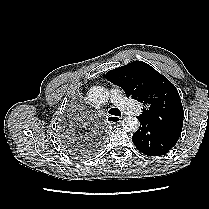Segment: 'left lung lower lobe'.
Listing matches in <instances>:
<instances>
[{"mask_svg":"<svg viewBox=\"0 0 209 209\" xmlns=\"http://www.w3.org/2000/svg\"><path fill=\"white\" fill-rule=\"evenodd\" d=\"M139 121L140 127L133 134L132 141L136 148L147 156L166 154L180 137L181 132L163 130L142 119Z\"/></svg>","mask_w":209,"mask_h":209,"instance_id":"1","label":"left lung lower lobe"}]
</instances>
